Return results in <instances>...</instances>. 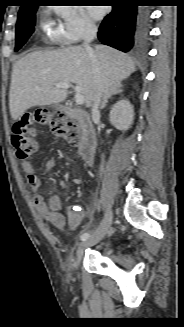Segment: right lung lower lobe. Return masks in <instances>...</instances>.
I'll use <instances>...</instances> for the list:
<instances>
[{
	"label": "right lung lower lobe",
	"instance_id": "obj_1",
	"mask_svg": "<svg viewBox=\"0 0 184 327\" xmlns=\"http://www.w3.org/2000/svg\"><path fill=\"white\" fill-rule=\"evenodd\" d=\"M113 8L99 27V40L123 52L144 47L149 34L148 12L132 2L115 5Z\"/></svg>",
	"mask_w": 184,
	"mask_h": 327
}]
</instances>
